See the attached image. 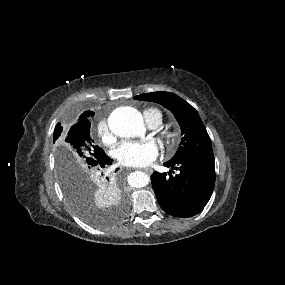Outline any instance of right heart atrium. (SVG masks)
I'll list each match as a JSON object with an SVG mask.
<instances>
[{
  "mask_svg": "<svg viewBox=\"0 0 285 285\" xmlns=\"http://www.w3.org/2000/svg\"><path fill=\"white\" fill-rule=\"evenodd\" d=\"M97 133L103 143L108 144L112 141L113 135L109 127L107 118H102L97 124Z\"/></svg>",
  "mask_w": 285,
  "mask_h": 285,
  "instance_id": "1",
  "label": "right heart atrium"
}]
</instances>
